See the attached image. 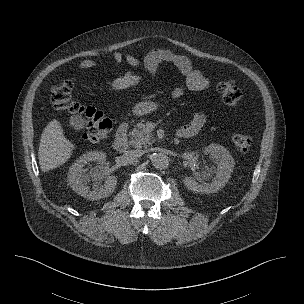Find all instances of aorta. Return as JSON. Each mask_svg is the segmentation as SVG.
<instances>
[{"instance_id": "762f6f07", "label": "aorta", "mask_w": 304, "mask_h": 304, "mask_svg": "<svg viewBox=\"0 0 304 304\" xmlns=\"http://www.w3.org/2000/svg\"><path fill=\"white\" fill-rule=\"evenodd\" d=\"M151 162L156 169H165L168 167L170 159L166 154L160 152L152 155Z\"/></svg>"}]
</instances>
